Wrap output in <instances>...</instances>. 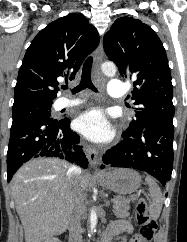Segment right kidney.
I'll list each match as a JSON object with an SVG mask.
<instances>
[{
	"label": "right kidney",
	"mask_w": 187,
	"mask_h": 242,
	"mask_svg": "<svg viewBox=\"0 0 187 242\" xmlns=\"http://www.w3.org/2000/svg\"><path fill=\"white\" fill-rule=\"evenodd\" d=\"M48 242H60V241L56 238H53V239L49 240Z\"/></svg>",
	"instance_id": "1"
}]
</instances>
